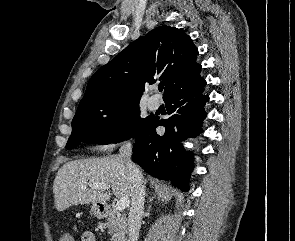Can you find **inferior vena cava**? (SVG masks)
<instances>
[{
	"label": "inferior vena cava",
	"mask_w": 295,
	"mask_h": 241,
	"mask_svg": "<svg viewBox=\"0 0 295 241\" xmlns=\"http://www.w3.org/2000/svg\"><path fill=\"white\" fill-rule=\"evenodd\" d=\"M131 153L132 145L128 141L120 147L118 157L125 162L133 187L131 208L128 216V241H138L141 216L144 210L145 186L142 173L131 161Z\"/></svg>",
	"instance_id": "inferior-vena-cava-1"
}]
</instances>
